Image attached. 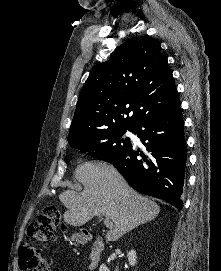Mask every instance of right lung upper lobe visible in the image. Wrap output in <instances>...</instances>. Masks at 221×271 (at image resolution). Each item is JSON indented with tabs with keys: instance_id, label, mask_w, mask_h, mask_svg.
I'll list each match as a JSON object with an SVG mask.
<instances>
[{
	"instance_id": "obj_1",
	"label": "right lung upper lobe",
	"mask_w": 221,
	"mask_h": 271,
	"mask_svg": "<svg viewBox=\"0 0 221 271\" xmlns=\"http://www.w3.org/2000/svg\"><path fill=\"white\" fill-rule=\"evenodd\" d=\"M179 102L159 44L145 36L131 38L110 62L92 70L77 102L68 142L115 126L136 127Z\"/></svg>"
}]
</instances>
